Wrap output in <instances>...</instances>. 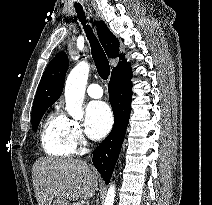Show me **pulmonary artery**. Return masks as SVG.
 Masks as SVG:
<instances>
[{
	"mask_svg": "<svg viewBox=\"0 0 212 205\" xmlns=\"http://www.w3.org/2000/svg\"><path fill=\"white\" fill-rule=\"evenodd\" d=\"M87 93L92 98H100L103 95V90L98 83H91L87 88Z\"/></svg>",
	"mask_w": 212,
	"mask_h": 205,
	"instance_id": "pulmonary-artery-1",
	"label": "pulmonary artery"
}]
</instances>
